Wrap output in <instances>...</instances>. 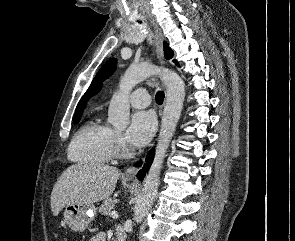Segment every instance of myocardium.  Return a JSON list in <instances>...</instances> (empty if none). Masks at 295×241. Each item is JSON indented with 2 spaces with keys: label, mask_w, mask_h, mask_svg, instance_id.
<instances>
[{
  "label": "myocardium",
  "mask_w": 295,
  "mask_h": 241,
  "mask_svg": "<svg viewBox=\"0 0 295 241\" xmlns=\"http://www.w3.org/2000/svg\"><path fill=\"white\" fill-rule=\"evenodd\" d=\"M113 155L120 158L128 157L130 155L129 150L124 146L119 137L115 138Z\"/></svg>",
  "instance_id": "1"
}]
</instances>
